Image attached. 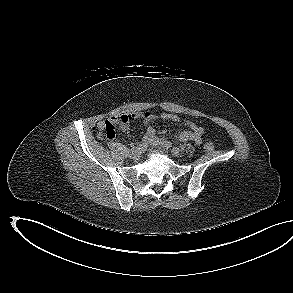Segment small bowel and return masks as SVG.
Wrapping results in <instances>:
<instances>
[{"instance_id": "obj_1", "label": "small bowel", "mask_w": 293, "mask_h": 293, "mask_svg": "<svg viewBox=\"0 0 293 293\" xmlns=\"http://www.w3.org/2000/svg\"><path fill=\"white\" fill-rule=\"evenodd\" d=\"M142 118L146 127L143 142L146 144L154 145V146H162L169 147L170 141L165 137H160L157 135L156 129L152 126V122L158 118L157 115H154L149 112L145 113H133L129 115H124L121 117L123 120L122 128L125 133H129L128 122ZM160 118L167 121L178 122L180 120L179 116L171 113H163ZM105 121H100L97 124V128L99 134L104 130ZM185 125L189 128L188 130H184L177 135V141L179 142H194L198 145L202 143L204 128L196 124L192 121H186Z\"/></svg>"}]
</instances>
